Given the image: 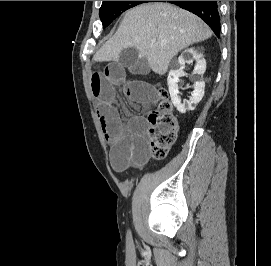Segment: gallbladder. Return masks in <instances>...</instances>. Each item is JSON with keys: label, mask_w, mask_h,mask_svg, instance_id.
<instances>
[{"label": "gallbladder", "mask_w": 271, "mask_h": 266, "mask_svg": "<svg viewBox=\"0 0 271 266\" xmlns=\"http://www.w3.org/2000/svg\"><path fill=\"white\" fill-rule=\"evenodd\" d=\"M119 62L134 75H147L150 72L147 58H140L137 49L133 47L126 48L121 52Z\"/></svg>", "instance_id": "bac80fb5"}]
</instances>
